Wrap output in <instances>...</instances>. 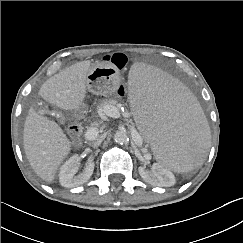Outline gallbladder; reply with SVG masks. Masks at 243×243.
Instances as JSON below:
<instances>
[{
	"mask_svg": "<svg viewBox=\"0 0 243 243\" xmlns=\"http://www.w3.org/2000/svg\"><path fill=\"white\" fill-rule=\"evenodd\" d=\"M33 107H34L35 111H37L39 113H42V114H45V115H46L48 109H51L52 108V109L57 110L56 108H54L52 106V104H50V103H44V102H41V101H36L34 103ZM57 112H58V115H57V117L55 119H58L59 118L60 122L61 123H64V120H65L64 115L62 113H59L58 110H57Z\"/></svg>",
	"mask_w": 243,
	"mask_h": 243,
	"instance_id": "obj_1",
	"label": "gallbladder"
}]
</instances>
